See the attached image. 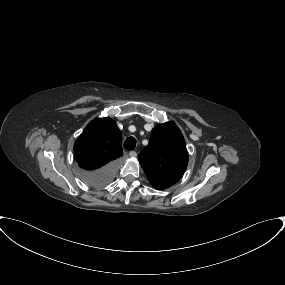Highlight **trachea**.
<instances>
[{
  "instance_id": "1",
  "label": "trachea",
  "mask_w": 285,
  "mask_h": 285,
  "mask_svg": "<svg viewBox=\"0 0 285 285\" xmlns=\"http://www.w3.org/2000/svg\"><path fill=\"white\" fill-rule=\"evenodd\" d=\"M136 147V139L134 137H128L124 142V148L126 150H134Z\"/></svg>"
}]
</instances>
